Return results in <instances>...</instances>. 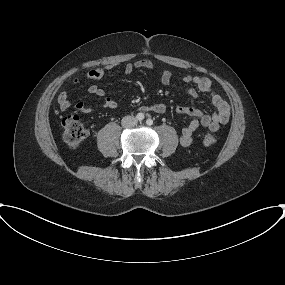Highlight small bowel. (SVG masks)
Wrapping results in <instances>:
<instances>
[{
    "mask_svg": "<svg viewBox=\"0 0 285 285\" xmlns=\"http://www.w3.org/2000/svg\"><path fill=\"white\" fill-rule=\"evenodd\" d=\"M108 67L92 69L87 72L86 78L98 81L103 78ZM153 70L154 64L150 60H138L134 63H127L124 66V73L127 75L132 74L135 70ZM172 79V74L170 71L165 70L161 74V83L163 85H169ZM182 82L193 84L194 87L187 91V96L190 98H195L198 96L199 92L208 94L211 101L215 107V112L211 115L205 114L201 110L188 106H179L176 111L178 114L193 118L192 121L182 129L180 135V143L184 147H188L193 142V134L199 127H205L210 131H217L221 125L226 124L230 118V107L227 101L222 97V95L213 89L212 82L209 78L203 76H192L187 75L181 79ZM77 79L73 80L76 84ZM88 92L96 97L102 99V105L104 107L114 109L117 107V103L109 96H105L103 89L98 87L96 84H92L88 88ZM58 104L61 110H67L70 105V99L68 93L63 91L58 96ZM75 109L79 112H88L92 109L90 105L80 101L75 104ZM142 111H152L158 114H162L166 111V105L164 103H157L151 106H143Z\"/></svg>",
    "mask_w": 285,
    "mask_h": 285,
    "instance_id": "obj_1",
    "label": "small bowel"
}]
</instances>
